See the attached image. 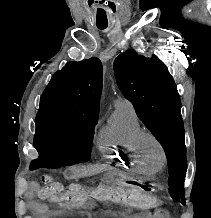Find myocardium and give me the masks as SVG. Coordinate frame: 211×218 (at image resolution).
Here are the masks:
<instances>
[{
    "mask_svg": "<svg viewBox=\"0 0 211 218\" xmlns=\"http://www.w3.org/2000/svg\"><path fill=\"white\" fill-rule=\"evenodd\" d=\"M147 139L152 140L156 144V146L158 147L159 155H160V163H159L158 167L162 166L165 162V151H164L163 145L160 142V140L156 137V135H154L152 132H149V131L139 132V134L137 135V138H136L137 155L140 157V163L147 164V162L143 160L142 154H141V147H142L144 141Z\"/></svg>",
    "mask_w": 211,
    "mask_h": 218,
    "instance_id": "obj_1",
    "label": "myocardium"
}]
</instances>
